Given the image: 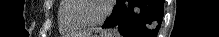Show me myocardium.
I'll list each match as a JSON object with an SVG mask.
<instances>
[{
    "label": "myocardium",
    "mask_w": 219,
    "mask_h": 37,
    "mask_svg": "<svg viewBox=\"0 0 219 37\" xmlns=\"http://www.w3.org/2000/svg\"><path fill=\"white\" fill-rule=\"evenodd\" d=\"M69 1L71 2L72 6L68 11L67 16H68L69 20L74 25L81 27V28L96 27V26L102 24L107 19L108 15L111 11V2L112 1L106 0V1H104L105 2V9L99 18L92 20V21H81L75 17V13L79 8L78 0H69Z\"/></svg>",
    "instance_id": "obj_1"
}]
</instances>
